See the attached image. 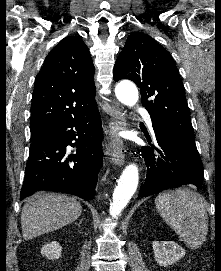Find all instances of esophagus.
<instances>
[{
	"label": "esophagus",
	"instance_id": "esophagus-1",
	"mask_svg": "<svg viewBox=\"0 0 221 271\" xmlns=\"http://www.w3.org/2000/svg\"><path fill=\"white\" fill-rule=\"evenodd\" d=\"M112 120L109 122V139L106 145L107 153L114 164L122 165L124 163V143L119 136L121 130L126 129V124L121 110L116 105H111Z\"/></svg>",
	"mask_w": 221,
	"mask_h": 271
}]
</instances>
